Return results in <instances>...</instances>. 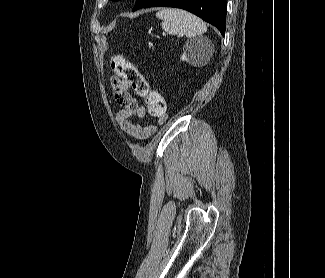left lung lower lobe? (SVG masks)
<instances>
[{"mask_svg": "<svg viewBox=\"0 0 325 278\" xmlns=\"http://www.w3.org/2000/svg\"><path fill=\"white\" fill-rule=\"evenodd\" d=\"M155 6L187 10L214 25L225 35L226 0H136L133 11Z\"/></svg>", "mask_w": 325, "mask_h": 278, "instance_id": "obj_1", "label": "left lung lower lobe"}]
</instances>
